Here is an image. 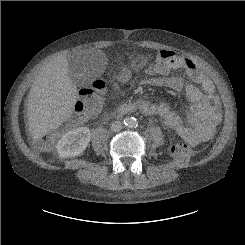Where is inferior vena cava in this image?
I'll return each mask as SVG.
<instances>
[{
	"label": "inferior vena cava",
	"mask_w": 245,
	"mask_h": 245,
	"mask_svg": "<svg viewBox=\"0 0 245 245\" xmlns=\"http://www.w3.org/2000/svg\"><path fill=\"white\" fill-rule=\"evenodd\" d=\"M110 128L113 132H120L122 129V123L120 121H114L112 122Z\"/></svg>",
	"instance_id": "inferior-vena-cava-1"
}]
</instances>
